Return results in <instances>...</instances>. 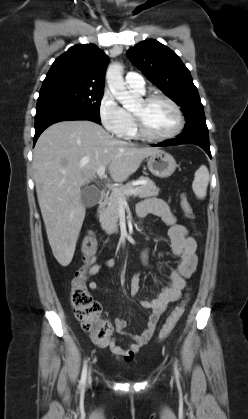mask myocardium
Wrapping results in <instances>:
<instances>
[{
  "mask_svg": "<svg viewBox=\"0 0 248 419\" xmlns=\"http://www.w3.org/2000/svg\"><path fill=\"white\" fill-rule=\"evenodd\" d=\"M162 100L167 102L175 111L177 115V125L176 127L169 133L165 135H154L150 133L145 125V122L142 116L138 113L133 112V119L136 127V131L138 135L144 139L151 140V141H166L175 138L178 136L185 126V118L180 106L175 102L172 98L164 94H151L146 97L142 98L143 103L149 104L151 102Z\"/></svg>",
  "mask_w": 248,
  "mask_h": 419,
  "instance_id": "f54148a6",
  "label": "myocardium"
}]
</instances>
